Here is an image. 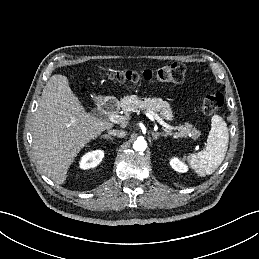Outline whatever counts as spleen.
Listing matches in <instances>:
<instances>
[{
  "label": "spleen",
  "instance_id": "spleen-1",
  "mask_svg": "<svg viewBox=\"0 0 259 259\" xmlns=\"http://www.w3.org/2000/svg\"><path fill=\"white\" fill-rule=\"evenodd\" d=\"M227 124L219 115L211 118V130L204 150L186 157L190 166L201 176L211 175L220 166L228 149Z\"/></svg>",
  "mask_w": 259,
  "mask_h": 259
}]
</instances>
